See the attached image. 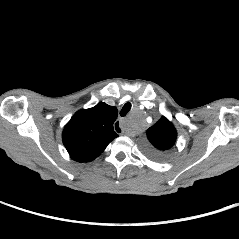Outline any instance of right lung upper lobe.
I'll return each mask as SVG.
<instances>
[{
  "label": "right lung upper lobe",
  "mask_w": 239,
  "mask_h": 239,
  "mask_svg": "<svg viewBox=\"0 0 239 239\" xmlns=\"http://www.w3.org/2000/svg\"><path fill=\"white\" fill-rule=\"evenodd\" d=\"M117 113L116 107L101 102L74 114L62 135L71 158L78 162H89L100 155L118 137L113 128Z\"/></svg>",
  "instance_id": "1"
}]
</instances>
